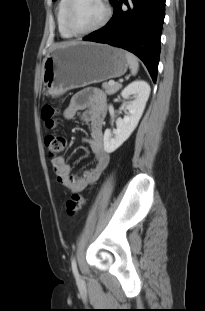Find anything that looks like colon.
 I'll use <instances>...</instances> for the list:
<instances>
[{
  "label": "colon",
  "instance_id": "colon-1",
  "mask_svg": "<svg viewBox=\"0 0 205 311\" xmlns=\"http://www.w3.org/2000/svg\"><path fill=\"white\" fill-rule=\"evenodd\" d=\"M41 118L44 121L46 127L53 130L59 125V108L53 103H46L41 109ZM66 138L58 134H48L45 137V146L48 156L53 159L59 156V154L66 147ZM85 203L84 196L80 193H73L65 204V212L68 217H77L79 211Z\"/></svg>",
  "mask_w": 205,
  "mask_h": 311
}]
</instances>
